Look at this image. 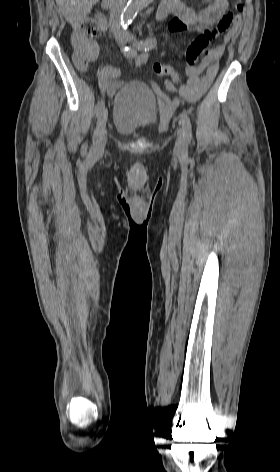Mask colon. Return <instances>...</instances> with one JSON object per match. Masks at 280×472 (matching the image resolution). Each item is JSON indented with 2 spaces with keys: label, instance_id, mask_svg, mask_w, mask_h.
Returning a JSON list of instances; mask_svg holds the SVG:
<instances>
[{
  "label": "colon",
  "instance_id": "1",
  "mask_svg": "<svg viewBox=\"0 0 280 472\" xmlns=\"http://www.w3.org/2000/svg\"><path fill=\"white\" fill-rule=\"evenodd\" d=\"M242 9L243 6L241 0H237L233 12H226L214 28L205 30L195 40H193L186 51L187 63L194 65L200 55H207L209 53L208 47L213 39H215L219 34L226 32L231 27L238 26L241 22ZM100 31V24L95 19L88 20L79 27V32L88 37H94L98 35ZM74 63L80 69L85 68L87 65L85 60L79 56H74ZM153 71L157 75L168 76L170 78L172 77L174 68L167 64L157 63L153 66Z\"/></svg>",
  "mask_w": 280,
  "mask_h": 472
}]
</instances>
